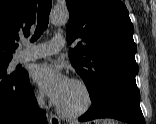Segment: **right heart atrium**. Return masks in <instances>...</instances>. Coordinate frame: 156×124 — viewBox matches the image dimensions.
I'll return each instance as SVG.
<instances>
[{"label":"right heart atrium","mask_w":156,"mask_h":124,"mask_svg":"<svg viewBox=\"0 0 156 124\" xmlns=\"http://www.w3.org/2000/svg\"><path fill=\"white\" fill-rule=\"evenodd\" d=\"M36 98H37V101L38 103L42 104L43 101H44V94L41 90H39L36 94Z\"/></svg>","instance_id":"right-heart-atrium-1"}]
</instances>
